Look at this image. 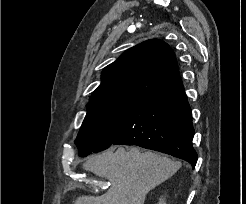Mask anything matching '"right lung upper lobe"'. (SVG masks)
<instances>
[{
  "label": "right lung upper lobe",
  "mask_w": 246,
  "mask_h": 204,
  "mask_svg": "<svg viewBox=\"0 0 246 204\" xmlns=\"http://www.w3.org/2000/svg\"><path fill=\"white\" fill-rule=\"evenodd\" d=\"M179 76L174 52L165 42L147 40L105 67L90 101L138 98Z\"/></svg>",
  "instance_id": "1"
}]
</instances>
